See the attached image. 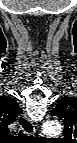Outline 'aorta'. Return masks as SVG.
Wrapping results in <instances>:
<instances>
[{"mask_svg":"<svg viewBox=\"0 0 77 143\" xmlns=\"http://www.w3.org/2000/svg\"><path fill=\"white\" fill-rule=\"evenodd\" d=\"M61 129L60 123L55 121H47L43 125V131L48 135H57Z\"/></svg>","mask_w":77,"mask_h":143,"instance_id":"obj_1","label":"aorta"}]
</instances>
